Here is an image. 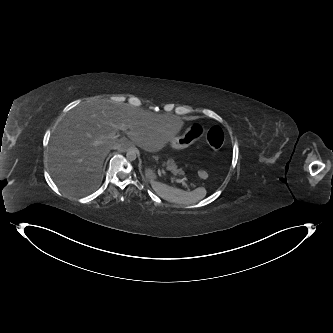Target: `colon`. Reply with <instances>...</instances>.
I'll use <instances>...</instances> for the list:
<instances>
[{
	"label": "colon",
	"mask_w": 333,
	"mask_h": 333,
	"mask_svg": "<svg viewBox=\"0 0 333 333\" xmlns=\"http://www.w3.org/2000/svg\"><path fill=\"white\" fill-rule=\"evenodd\" d=\"M206 139L211 149L218 151L224 143V133L219 126H212L207 132ZM198 175L200 178H205L207 173L204 170H200Z\"/></svg>",
	"instance_id": "obj_1"
}]
</instances>
